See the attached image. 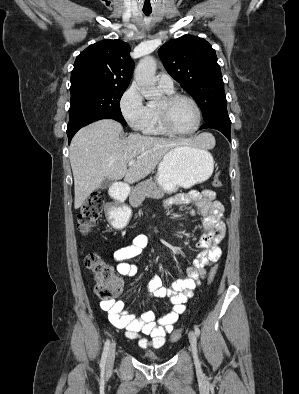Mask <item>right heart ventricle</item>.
<instances>
[{"label": "right heart ventricle", "mask_w": 299, "mask_h": 394, "mask_svg": "<svg viewBox=\"0 0 299 394\" xmlns=\"http://www.w3.org/2000/svg\"><path fill=\"white\" fill-rule=\"evenodd\" d=\"M160 89L165 95H171L174 93V89H165V88H161V87H160ZM148 108H149V116H148V119H147L144 129H143L144 133L149 134V135H167V134H169L161 126L158 112H157V105H155L154 103H149Z\"/></svg>", "instance_id": "right-heart-ventricle-1"}]
</instances>
